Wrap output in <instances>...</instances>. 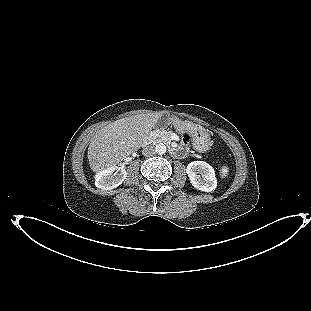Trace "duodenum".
I'll use <instances>...</instances> for the list:
<instances>
[{
	"mask_svg": "<svg viewBox=\"0 0 311 311\" xmlns=\"http://www.w3.org/2000/svg\"><path fill=\"white\" fill-rule=\"evenodd\" d=\"M170 152H171L172 154H174V155H178V154L180 153V150L175 149V148H171V149H170Z\"/></svg>",
	"mask_w": 311,
	"mask_h": 311,
	"instance_id": "1",
	"label": "duodenum"
}]
</instances>
